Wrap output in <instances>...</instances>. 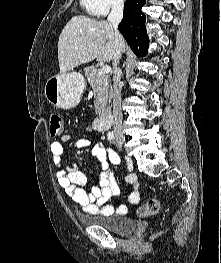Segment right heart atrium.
<instances>
[{
  "mask_svg": "<svg viewBox=\"0 0 221 263\" xmlns=\"http://www.w3.org/2000/svg\"><path fill=\"white\" fill-rule=\"evenodd\" d=\"M124 0H92V8L94 15L104 16L110 10L121 7Z\"/></svg>",
  "mask_w": 221,
  "mask_h": 263,
  "instance_id": "1",
  "label": "right heart atrium"
}]
</instances>
